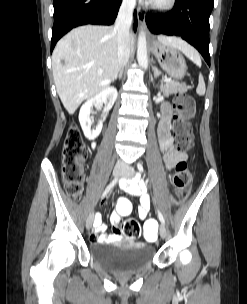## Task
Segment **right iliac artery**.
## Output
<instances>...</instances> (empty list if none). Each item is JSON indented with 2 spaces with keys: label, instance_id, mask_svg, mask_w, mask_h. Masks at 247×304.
Returning a JSON list of instances; mask_svg holds the SVG:
<instances>
[{
  "label": "right iliac artery",
  "instance_id": "obj_1",
  "mask_svg": "<svg viewBox=\"0 0 247 304\" xmlns=\"http://www.w3.org/2000/svg\"><path fill=\"white\" fill-rule=\"evenodd\" d=\"M118 178H115L109 185L108 187L105 189L104 193H103V197L107 195V193H109L112 188L115 186V184L117 183Z\"/></svg>",
  "mask_w": 247,
  "mask_h": 304
}]
</instances>
